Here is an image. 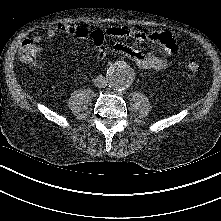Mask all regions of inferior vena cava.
Wrapping results in <instances>:
<instances>
[{"label":"inferior vena cava","mask_w":221,"mask_h":221,"mask_svg":"<svg viewBox=\"0 0 221 221\" xmlns=\"http://www.w3.org/2000/svg\"><path fill=\"white\" fill-rule=\"evenodd\" d=\"M94 85L98 88H105L108 85V82L104 76L98 75L94 79Z\"/></svg>","instance_id":"inferior-vena-cava-1"}]
</instances>
